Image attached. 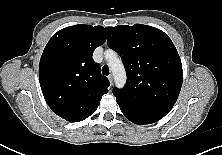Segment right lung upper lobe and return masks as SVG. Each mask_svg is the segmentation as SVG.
I'll use <instances>...</instances> for the list:
<instances>
[{
	"label": "right lung upper lobe",
	"instance_id": "1",
	"mask_svg": "<svg viewBox=\"0 0 222 155\" xmlns=\"http://www.w3.org/2000/svg\"><path fill=\"white\" fill-rule=\"evenodd\" d=\"M105 41L104 27L79 24L58 31L47 43L39 64L40 86L48 106L61 118H88L108 92L110 83L92 58Z\"/></svg>",
	"mask_w": 222,
	"mask_h": 155
}]
</instances>
